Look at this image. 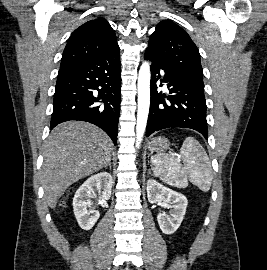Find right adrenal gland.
Segmentation results:
<instances>
[{"instance_id": "right-adrenal-gland-1", "label": "right adrenal gland", "mask_w": 267, "mask_h": 270, "mask_svg": "<svg viewBox=\"0 0 267 270\" xmlns=\"http://www.w3.org/2000/svg\"><path fill=\"white\" fill-rule=\"evenodd\" d=\"M109 167V169L111 170V162H109L104 168Z\"/></svg>"}]
</instances>
